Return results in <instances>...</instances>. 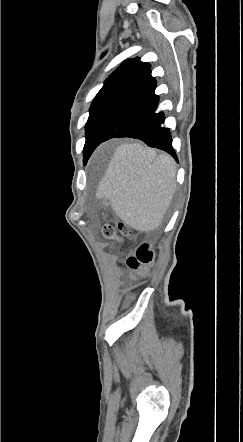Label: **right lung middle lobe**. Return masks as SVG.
Here are the masks:
<instances>
[{
  "instance_id": "right-lung-middle-lobe-1",
  "label": "right lung middle lobe",
  "mask_w": 243,
  "mask_h": 442,
  "mask_svg": "<svg viewBox=\"0 0 243 442\" xmlns=\"http://www.w3.org/2000/svg\"><path fill=\"white\" fill-rule=\"evenodd\" d=\"M123 98L124 97L122 96H104L94 99L90 107V115L85 126L86 142L84 146V151L88 146L89 141L97 126L107 115V113Z\"/></svg>"
}]
</instances>
